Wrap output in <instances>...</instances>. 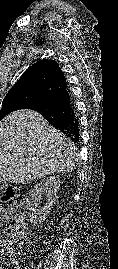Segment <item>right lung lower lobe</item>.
<instances>
[{"label":"right lung lower lobe","instance_id":"right-lung-lower-lobe-1","mask_svg":"<svg viewBox=\"0 0 118 269\" xmlns=\"http://www.w3.org/2000/svg\"><path fill=\"white\" fill-rule=\"evenodd\" d=\"M25 109L39 112L51 125L61 130L71 140L79 141V119L68 87Z\"/></svg>","mask_w":118,"mask_h":269}]
</instances>
